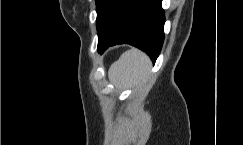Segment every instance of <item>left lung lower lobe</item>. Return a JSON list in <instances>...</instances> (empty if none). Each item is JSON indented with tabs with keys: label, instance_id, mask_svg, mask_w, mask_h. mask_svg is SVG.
Returning <instances> with one entry per match:
<instances>
[{
	"label": "left lung lower lobe",
	"instance_id": "0a47b994",
	"mask_svg": "<svg viewBox=\"0 0 243 145\" xmlns=\"http://www.w3.org/2000/svg\"><path fill=\"white\" fill-rule=\"evenodd\" d=\"M162 0H129L105 34L98 33V52L116 44H131L146 52L153 62L164 41Z\"/></svg>",
	"mask_w": 243,
	"mask_h": 145
}]
</instances>
